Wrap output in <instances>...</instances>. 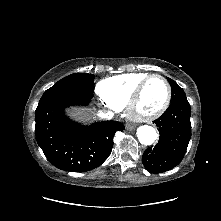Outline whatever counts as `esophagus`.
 Listing matches in <instances>:
<instances>
[{
    "label": "esophagus",
    "mask_w": 221,
    "mask_h": 221,
    "mask_svg": "<svg viewBox=\"0 0 221 221\" xmlns=\"http://www.w3.org/2000/svg\"><path fill=\"white\" fill-rule=\"evenodd\" d=\"M126 128L130 131L134 130L135 129V126L131 125V124H127L126 125Z\"/></svg>",
    "instance_id": "esophagus-1"
}]
</instances>
